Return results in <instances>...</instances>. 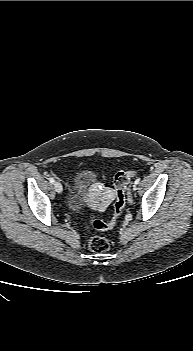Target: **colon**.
<instances>
[{
  "mask_svg": "<svg viewBox=\"0 0 193 351\" xmlns=\"http://www.w3.org/2000/svg\"><path fill=\"white\" fill-rule=\"evenodd\" d=\"M137 175L135 168H130L125 171L118 172L114 177V194L116 201L114 204V217L111 221H103L100 219H92V227L97 231H107L113 228L119 217L121 216L124 206L126 195L130 180ZM111 243L109 239L101 236H92L88 240V247L95 253H103L109 250Z\"/></svg>",
  "mask_w": 193,
  "mask_h": 351,
  "instance_id": "1",
  "label": "colon"
}]
</instances>
